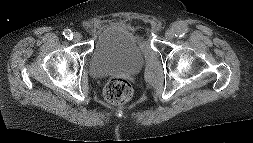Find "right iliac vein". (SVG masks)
Segmentation results:
<instances>
[{"instance_id": "1", "label": "right iliac vein", "mask_w": 253, "mask_h": 143, "mask_svg": "<svg viewBox=\"0 0 253 143\" xmlns=\"http://www.w3.org/2000/svg\"><path fill=\"white\" fill-rule=\"evenodd\" d=\"M72 38L74 42H80L82 39V35L79 32H75Z\"/></svg>"}]
</instances>
